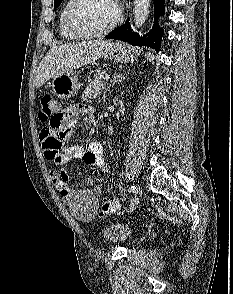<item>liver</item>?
<instances>
[{"instance_id":"6515ba94","label":"liver","mask_w":233,"mask_h":294,"mask_svg":"<svg viewBox=\"0 0 233 294\" xmlns=\"http://www.w3.org/2000/svg\"><path fill=\"white\" fill-rule=\"evenodd\" d=\"M113 46L110 41H82L52 47L42 59L35 79L36 88L57 75L95 62Z\"/></svg>"}]
</instances>
